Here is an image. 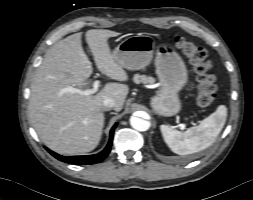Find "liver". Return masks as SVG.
<instances>
[{
    "instance_id": "obj_1",
    "label": "liver",
    "mask_w": 253,
    "mask_h": 200,
    "mask_svg": "<svg viewBox=\"0 0 253 200\" xmlns=\"http://www.w3.org/2000/svg\"><path fill=\"white\" fill-rule=\"evenodd\" d=\"M118 35L91 29L86 32V41L98 70L123 82L128 74L114 60L107 42ZM81 37V33L72 34L50 48L31 84L29 119L42 142L62 155H80L95 149L104 126L103 101L114 99V110L120 111L129 92L128 86L121 83H107L91 95L65 91L68 86L88 90L93 69Z\"/></svg>"
}]
</instances>
